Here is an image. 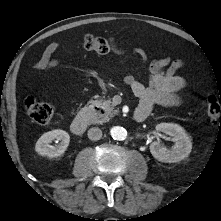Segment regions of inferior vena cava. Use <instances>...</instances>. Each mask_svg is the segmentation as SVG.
Instances as JSON below:
<instances>
[{"mask_svg":"<svg viewBox=\"0 0 221 221\" xmlns=\"http://www.w3.org/2000/svg\"><path fill=\"white\" fill-rule=\"evenodd\" d=\"M102 137V131L98 127H92L88 130V138L93 141L100 140Z\"/></svg>","mask_w":221,"mask_h":221,"instance_id":"obj_1","label":"inferior vena cava"}]
</instances>
